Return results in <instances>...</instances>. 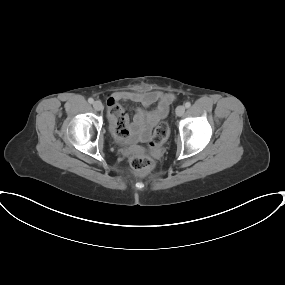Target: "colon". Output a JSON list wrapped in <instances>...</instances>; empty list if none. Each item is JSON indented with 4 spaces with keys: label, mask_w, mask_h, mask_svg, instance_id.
<instances>
[{
    "label": "colon",
    "mask_w": 285,
    "mask_h": 285,
    "mask_svg": "<svg viewBox=\"0 0 285 285\" xmlns=\"http://www.w3.org/2000/svg\"><path fill=\"white\" fill-rule=\"evenodd\" d=\"M108 109L111 114L117 117V121L113 125L115 135L119 139H125L128 135V127L126 122L120 117L119 107L116 102L109 101ZM169 130L165 123L159 124L153 132L150 146L152 148L159 147L168 137ZM130 167L138 173L146 174L154 168V161L152 158L142 154H133L129 159Z\"/></svg>",
    "instance_id": "colon-1"
}]
</instances>
